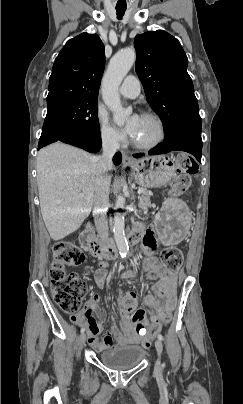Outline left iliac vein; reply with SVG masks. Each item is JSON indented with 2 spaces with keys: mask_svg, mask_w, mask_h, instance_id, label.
<instances>
[{
  "mask_svg": "<svg viewBox=\"0 0 243 404\" xmlns=\"http://www.w3.org/2000/svg\"><path fill=\"white\" fill-rule=\"evenodd\" d=\"M155 347H156L157 354H158V359L155 364V371L157 373H159L161 371V360L160 359H161V354H162V350H163V345H162L161 340L157 339L155 341Z\"/></svg>",
  "mask_w": 243,
  "mask_h": 404,
  "instance_id": "1",
  "label": "left iliac vein"
}]
</instances>
